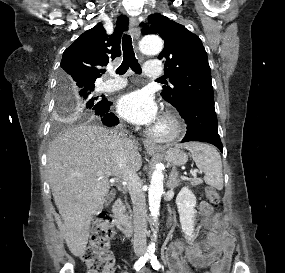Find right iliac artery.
I'll return each mask as SVG.
<instances>
[{
  "label": "right iliac artery",
  "instance_id": "obj_1",
  "mask_svg": "<svg viewBox=\"0 0 285 273\" xmlns=\"http://www.w3.org/2000/svg\"><path fill=\"white\" fill-rule=\"evenodd\" d=\"M149 259V255L145 254L144 256L140 257L134 264V269L136 271L140 270L145 263L147 262V260Z\"/></svg>",
  "mask_w": 285,
  "mask_h": 273
}]
</instances>
